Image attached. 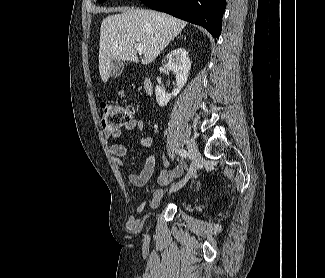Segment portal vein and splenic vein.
I'll return each instance as SVG.
<instances>
[{
    "label": "portal vein and splenic vein",
    "instance_id": "18ae733b",
    "mask_svg": "<svg viewBox=\"0 0 325 278\" xmlns=\"http://www.w3.org/2000/svg\"><path fill=\"white\" fill-rule=\"evenodd\" d=\"M142 48H143L142 43L139 42V43H136V44H135V49H136V50L141 51Z\"/></svg>",
    "mask_w": 325,
    "mask_h": 278
}]
</instances>
